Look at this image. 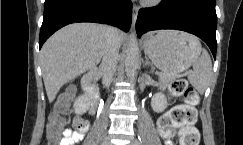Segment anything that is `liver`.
<instances>
[{"label": "liver", "instance_id": "obj_1", "mask_svg": "<svg viewBox=\"0 0 243 145\" xmlns=\"http://www.w3.org/2000/svg\"><path fill=\"white\" fill-rule=\"evenodd\" d=\"M108 27L95 23H75L52 35L41 49V69L49 102L60 88L101 61ZM120 43L123 32L118 31Z\"/></svg>", "mask_w": 243, "mask_h": 145}]
</instances>
